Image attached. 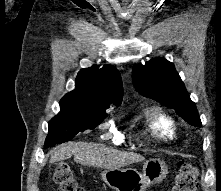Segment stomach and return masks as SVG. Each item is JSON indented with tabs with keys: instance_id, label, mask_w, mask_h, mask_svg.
<instances>
[{
	"instance_id": "0dacf381",
	"label": "stomach",
	"mask_w": 221,
	"mask_h": 191,
	"mask_svg": "<svg viewBox=\"0 0 221 191\" xmlns=\"http://www.w3.org/2000/svg\"><path fill=\"white\" fill-rule=\"evenodd\" d=\"M168 168L160 159H150L143 165L142 173L134 168L106 169L101 173L102 180L116 191H146L160 183L167 175Z\"/></svg>"
}]
</instances>
